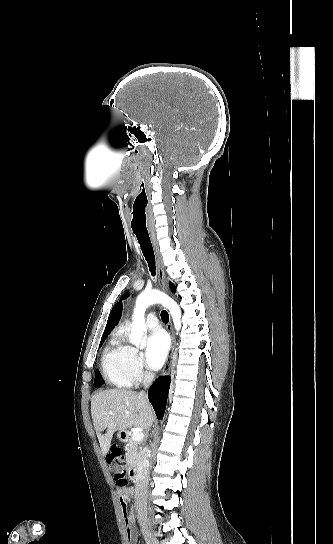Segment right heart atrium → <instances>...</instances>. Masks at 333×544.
Instances as JSON below:
<instances>
[{
	"label": "right heart atrium",
	"mask_w": 333,
	"mask_h": 544,
	"mask_svg": "<svg viewBox=\"0 0 333 544\" xmlns=\"http://www.w3.org/2000/svg\"><path fill=\"white\" fill-rule=\"evenodd\" d=\"M126 369L132 384H137L152 376L142 353L135 347L125 345Z\"/></svg>",
	"instance_id": "d8ad5b80"
}]
</instances>
